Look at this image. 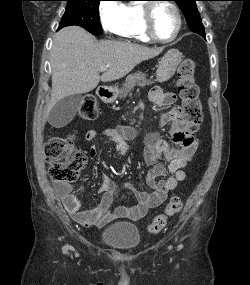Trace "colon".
Masks as SVG:
<instances>
[{"label":"colon","mask_w":250,"mask_h":285,"mask_svg":"<svg viewBox=\"0 0 250 285\" xmlns=\"http://www.w3.org/2000/svg\"><path fill=\"white\" fill-rule=\"evenodd\" d=\"M195 63L191 59L182 61L178 68V92L182 100L181 116L188 133L194 134L202 120V108L199 101V87L194 80ZM95 100L87 96L83 99L79 116L85 120L97 117ZM49 174L53 181L61 183L74 182L84 166L85 158L77 150L72 137L50 136L45 147ZM182 200L174 196L167 203L164 212L157 215L149 225V232L159 233L167 224L169 217L182 210Z\"/></svg>","instance_id":"colon-1"}]
</instances>
